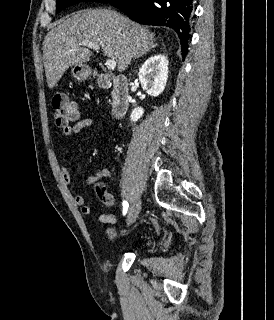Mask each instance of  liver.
<instances>
[{
    "label": "liver",
    "instance_id": "6515ba94",
    "mask_svg": "<svg viewBox=\"0 0 274 320\" xmlns=\"http://www.w3.org/2000/svg\"><path fill=\"white\" fill-rule=\"evenodd\" d=\"M154 36L111 8L74 12L57 22L44 38L43 64L48 88H54L70 66L89 62L92 52L82 42L99 46L104 56L115 60L119 72H124L135 56L150 52L156 42Z\"/></svg>",
    "mask_w": 274,
    "mask_h": 320
}]
</instances>
